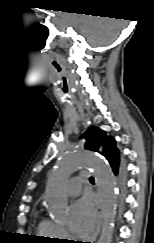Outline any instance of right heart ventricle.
<instances>
[{"label":"right heart ventricle","instance_id":"e07e8e85","mask_svg":"<svg viewBox=\"0 0 154 243\" xmlns=\"http://www.w3.org/2000/svg\"><path fill=\"white\" fill-rule=\"evenodd\" d=\"M59 225L54 223L53 221L40 217L38 226H37V232L39 235L49 238V239H57L59 235Z\"/></svg>","mask_w":154,"mask_h":243}]
</instances>
